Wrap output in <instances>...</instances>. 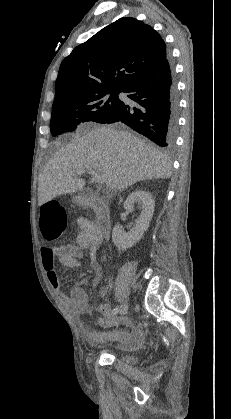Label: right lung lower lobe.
Instances as JSON below:
<instances>
[{"instance_id": "right-lung-lower-lobe-1", "label": "right lung lower lobe", "mask_w": 231, "mask_h": 419, "mask_svg": "<svg viewBox=\"0 0 231 419\" xmlns=\"http://www.w3.org/2000/svg\"><path fill=\"white\" fill-rule=\"evenodd\" d=\"M123 92L136 102H124L101 123L121 121L160 147H171L178 118V93L168 59L129 84Z\"/></svg>"}]
</instances>
